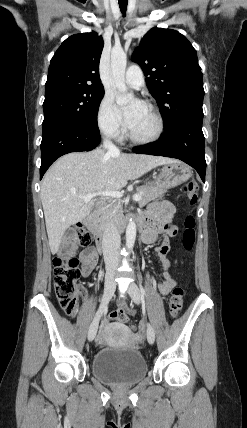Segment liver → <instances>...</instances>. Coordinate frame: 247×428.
<instances>
[{
  "mask_svg": "<svg viewBox=\"0 0 247 428\" xmlns=\"http://www.w3.org/2000/svg\"><path fill=\"white\" fill-rule=\"evenodd\" d=\"M175 162L178 160L161 156L110 154L100 148L59 158L44 175L40 192L52 254L59 251L65 231L93 208L95 199L85 203L79 196L118 191L129 180Z\"/></svg>",
  "mask_w": 247,
  "mask_h": 428,
  "instance_id": "obj_1",
  "label": "liver"
}]
</instances>
